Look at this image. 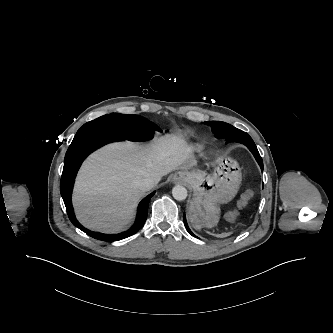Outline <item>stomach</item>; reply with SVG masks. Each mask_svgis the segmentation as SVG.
Returning <instances> with one entry per match:
<instances>
[{"mask_svg": "<svg viewBox=\"0 0 333 333\" xmlns=\"http://www.w3.org/2000/svg\"><path fill=\"white\" fill-rule=\"evenodd\" d=\"M174 179H180L193 191L188 214L195 228H212L219 222L218 204L231 201L238 192L242 173L238 162L227 155L218 156L213 162V172L181 169Z\"/></svg>", "mask_w": 333, "mask_h": 333, "instance_id": "stomach-1", "label": "stomach"}]
</instances>
